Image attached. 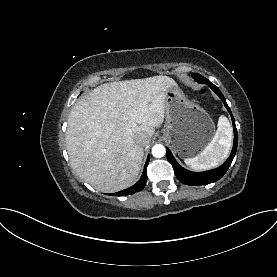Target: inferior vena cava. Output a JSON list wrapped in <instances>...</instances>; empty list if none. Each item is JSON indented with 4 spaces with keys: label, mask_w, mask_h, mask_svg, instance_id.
Returning a JSON list of instances; mask_svg holds the SVG:
<instances>
[{
    "label": "inferior vena cava",
    "mask_w": 277,
    "mask_h": 277,
    "mask_svg": "<svg viewBox=\"0 0 277 277\" xmlns=\"http://www.w3.org/2000/svg\"><path fill=\"white\" fill-rule=\"evenodd\" d=\"M135 141L140 146H146L149 143V139L145 133H138L135 136Z\"/></svg>",
    "instance_id": "1"
}]
</instances>
